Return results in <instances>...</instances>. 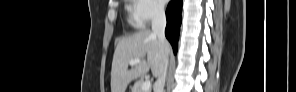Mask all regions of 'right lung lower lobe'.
<instances>
[{"label": "right lung lower lobe", "instance_id": "1", "mask_svg": "<svg viewBox=\"0 0 296 92\" xmlns=\"http://www.w3.org/2000/svg\"><path fill=\"white\" fill-rule=\"evenodd\" d=\"M182 0H172L166 10L167 26L165 35L171 43L174 53L178 48L179 31L181 25Z\"/></svg>", "mask_w": 296, "mask_h": 92}]
</instances>
